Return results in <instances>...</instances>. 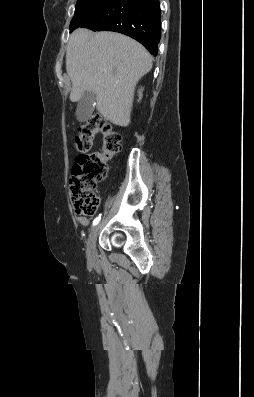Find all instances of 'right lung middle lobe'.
<instances>
[{
    "mask_svg": "<svg viewBox=\"0 0 254 397\" xmlns=\"http://www.w3.org/2000/svg\"><path fill=\"white\" fill-rule=\"evenodd\" d=\"M107 2L108 0H78L70 23V32L94 16Z\"/></svg>",
    "mask_w": 254,
    "mask_h": 397,
    "instance_id": "dd1d6c3e",
    "label": "right lung middle lobe"
}]
</instances>
